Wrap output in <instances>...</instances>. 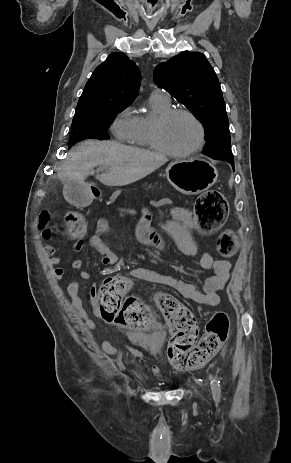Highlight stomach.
<instances>
[{
  "label": "stomach",
  "instance_id": "obj_1",
  "mask_svg": "<svg viewBox=\"0 0 291 463\" xmlns=\"http://www.w3.org/2000/svg\"><path fill=\"white\" fill-rule=\"evenodd\" d=\"M166 176L178 191L187 195H196L215 184L218 171L215 166L203 159H177L168 165ZM64 196L75 206L85 205L91 200L89 189L85 185L66 186Z\"/></svg>",
  "mask_w": 291,
  "mask_h": 463
}]
</instances>
